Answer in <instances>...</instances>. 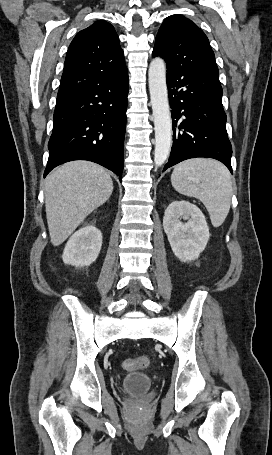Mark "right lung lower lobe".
Listing matches in <instances>:
<instances>
[{"mask_svg":"<svg viewBox=\"0 0 272 455\" xmlns=\"http://www.w3.org/2000/svg\"><path fill=\"white\" fill-rule=\"evenodd\" d=\"M128 88L127 73L57 97L44 177L62 163L89 160L121 180Z\"/></svg>","mask_w":272,"mask_h":455,"instance_id":"obj_1","label":"right lung lower lobe"}]
</instances>
